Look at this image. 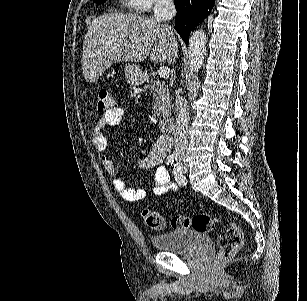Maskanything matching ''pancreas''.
<instances>
[{
  "label": "pancreas",
  "mask_w": 307,
  "mask_h": 301,
  "mask_svg": "<svg viewBox=\"0 0 307 301\" xmlns=\"http://www.w3.org/2000/svg\"><path fill=\"white\" fill-rule=\"evenodd\" d=\"M144 88H148L153 96L154 116H161L163 112H170L172 98L166 82H163V80H153L152 78L148 84H145Z\"/></svg>",
  "instance_id": "pancreas-1"
}]
</instances>
